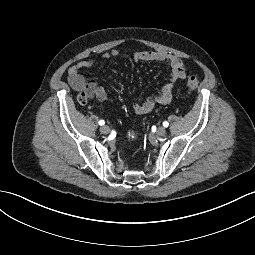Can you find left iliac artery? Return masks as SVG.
<instances>
[{"instance_id": "1", "label": "left iliac artery", "mask_w": 255, "mask_h": 255, "mask_svg": "<svg viewBox=\"0 0 255 255\" xmlns=\"http://www.w3.org/2000/svg\"><path fill=\"white\" fill-rule=\"evenodd\" d=\"M168 125H169V123H168L167 121H164V122H163V126H164V127H168Z\"/></svg>"}]
</instances>
